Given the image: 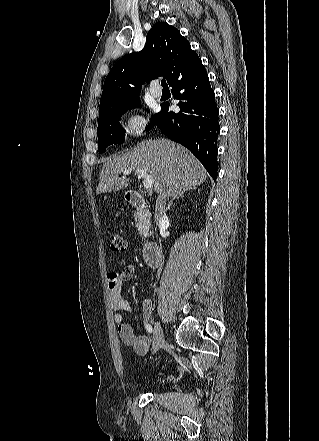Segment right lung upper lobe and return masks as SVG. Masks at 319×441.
<instances>
[{
	"label": "right lung upper lobe",
	"mask_w": 319,
	"mask_h": 441,
	"mask_svg": "<svg viewBox=\"0 0 319 441\" xmlns=\"http://www.w3.org/2000/svg\"><path fill=\"white\" fill-rule=\"evenodd\" d=\"M200 59L189 42L166 22L156 23L147 34L144 49L122 57L107 75L100 110L139 101L144 82L162 76L170 85Z\"/></svg>",
	"instance_id": "obj_1"
}]
</instances>
